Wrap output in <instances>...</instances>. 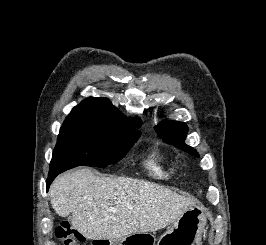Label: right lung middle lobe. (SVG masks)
<instances>
[{"label": "right lung middle lobe", "mask_w": 266, "mask_h": 245, "mask_svg": "<svg viewBox=\"0 0 266 245\" xmlns=\"http://www.w3.org/2000/svg\"><path fill=\"white\" fill-rule=\"evenodd\" d=\"M141 125H122L95 117H67L58 135L49 172L87 165L105 167L125 157L140 137Z\"/></svg>", "instance_id": "1"}]
</instances>
